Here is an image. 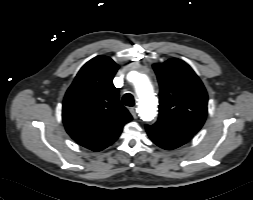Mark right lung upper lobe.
<instances>
[{
	"label": "right lung upper lobe",
	"instance_id": "cb5924a9",
	"mask_svg": "<svg viewBox=\"0 0 253 200\" xmlns=\"http://www.w3.org/2000/svg\"><path fill=\"white\" fill-rule=\"evenodd\" d=\"M118 68L109 57L91 59L80 69L64 97L62 118L67 133L92 151L114 143L124 124L132 120L113 85Z\"/></svg>",
	"mask_w": 253,
	"mask_h": 200
}]
</instances>
